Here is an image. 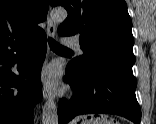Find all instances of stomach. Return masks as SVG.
<instances>
[{"mask_svg":"<svg viewBox=\"0 0 156 124\" xmlns=\"http://www.w3.org/2000/svg\"><path fill=\"white\" fill-rule=\"evenodd\" d=\"M71 124H114V121L108 120L106 116H102L101 118L95 119L77 118L74 121H72Z\"/></svg>","mask_w":156,"mask_h":124,"instance_id":"stomach-1","label":"stomach"}]
</instances>
